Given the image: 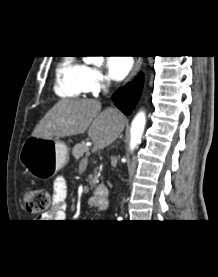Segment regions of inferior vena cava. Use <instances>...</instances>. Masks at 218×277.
Wrapping results in <instances>:
<instances>
[{"label":"inferior vena cava","mask_w":218,"mask_h":277,"mask_svg":"<svg viewBox=\"0 0 218 277\" xmlns=\"http://www.w3.org/2000/svg\"><path fill=\"white\" fill-rule=\"evenodd\" d=\"M102 90H103L104 94H106L108 92V85L107 84H103L102 85Z\"/></svg>","instance_id":"602c4592"}]
</instances>
